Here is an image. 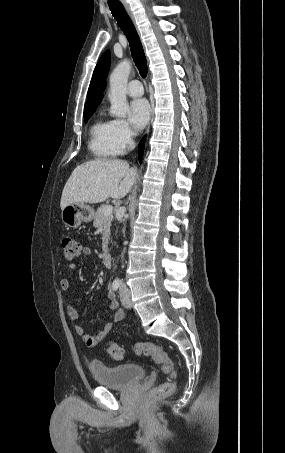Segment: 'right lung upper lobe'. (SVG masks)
<instances>
[{"label": "right lung upper lobe", "mask_w": 285, "mask_h": 453, "mask_svg": "<svg viewBox=\"0 0 285 453\" xmlns=\"http://www.w3.org/2000/svg\"><path fill=\"white\" fill-rule=\"evenodd\" d=\"M110 66V51L107 50L98 61L88 89L87 101L84 113L95 111L103 99V91L106 87V78Z\"/></svg>", "instance_id": "1"}]
</instances>
